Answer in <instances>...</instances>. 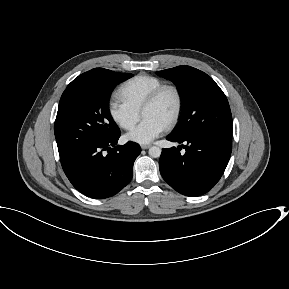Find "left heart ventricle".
<instances>
[{"instance_id": "left-heart-ventricle-1", "label": "left heart ventricle", "mask_w": 289, "mask_h": 289, "mask_svg": "<svg viewBox=\"0 0 289 289\" xmlns=\"http://www.w3.org/2000/svg\"><path fill=\"white\" fill-rule=\"evenodd\" d=\"M175 106L176 98L174 93L166 91L154 105L144 110L142 116L144 118H155L166 125L174 113Z\"/></svg>"}]
</instances>
